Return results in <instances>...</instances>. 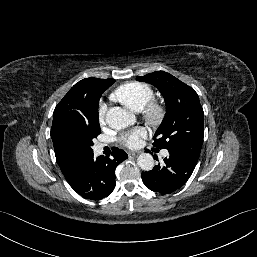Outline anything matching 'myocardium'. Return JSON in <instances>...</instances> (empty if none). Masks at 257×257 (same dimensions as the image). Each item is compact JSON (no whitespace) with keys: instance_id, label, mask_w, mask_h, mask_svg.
Segmentation results:
<instances>
[{"instance_id":"myocardium-1","label":"myocardium","mask_w":257,"mask_h":257,"mask_svg":"<svg viewBox=\"0 0 257 257\" xmlns=\"http://www.w3.org/2000/svg\"><path fill=\"white\" fill-rule=\"evenodd\" d=\"M145 119L154 126L162 123L166 115V108L160 101L151 99L142 109Z\"/></svg>"}]
</instances>
